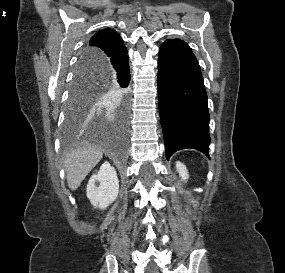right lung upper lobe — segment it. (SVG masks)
<instances>
[{"label": "right lung upper lobe", "mask_w": 285, "mask_h": 273, "mask_svg": "<svg viewBox=\"0 0 285 273\" xmlns=\"http://www.w3.org/2000/svg\"><path fill=\"white\" fill-rule=\"evenodd\" d=\"M126 52L121 36L115 30L105 28L91 37L82 52L78 65L82 69L89 70V62L98 57L110 59L120 57Z\"/></svg>", "instance_id": "cb5924a9"}]
</instances>
